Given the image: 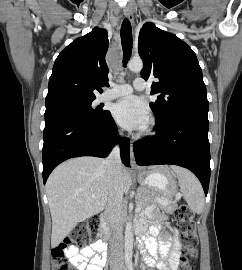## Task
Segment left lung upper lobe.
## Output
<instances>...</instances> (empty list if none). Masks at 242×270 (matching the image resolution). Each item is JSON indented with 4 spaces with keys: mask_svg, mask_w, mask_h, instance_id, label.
Here are the masks:
<instances>
[{
    "mask_svg": "<svg viewBox=\"0 0 242 270\" xmlns=\"http://www.w3.org/2000/svg\"><path fill=\"white\" fill-rule=\"evenodd\" d=\"M138 52L144 62L142 78H158L151 85L150 103L157 123L185 112L208 113L206 86L194 51L176 35L147 22L139 33Z\"/></svg>",
    "mask_w": 242,
    "mask_h": 270,
    "instance_id": "5c2ea615",
    "label": "left lung upper lobe"
}]
</instances>
